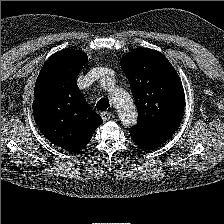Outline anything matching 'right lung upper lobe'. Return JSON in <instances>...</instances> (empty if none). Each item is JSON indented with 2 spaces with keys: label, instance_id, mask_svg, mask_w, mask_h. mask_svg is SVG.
Listing matches in <instances>:
<instances>
[{
  "label": "right lung upper lobe",
  "instance_id": "right-lung-upper-lobe-1",
  "mask_svg": "<svg viewBox=\"0 0 224 224\" xmlns=\"http://www.w3.org/2000/svg\"><path fill=\"white\" fill-rule=\"evenodd\" d=\"M87 55L77 50L53 54L35 83L34 119L54 145L71 152L82 150L102 121L85 102L75 81Z\"/></svg>",
  "mask_w": 224,
  "mask_h": 224
}]
</instances>
